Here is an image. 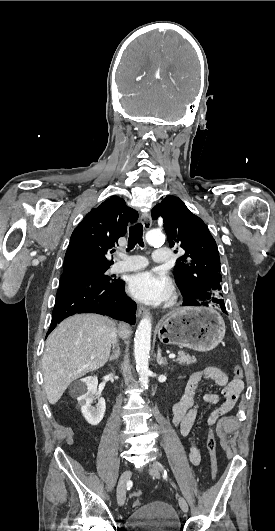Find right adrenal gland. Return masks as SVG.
Returning a JSON list of instances; mask_svg holds the SVG:
<instances>
[{
	"label": "right adrenal gland",
	"instance_id": "2a0ac1e0",
	"mask_svg": "<svg viewBox=\"0 0 275 531\" xmlns=\"http://www.w3.org/2000/svg\"><path fill=\"white\" fill-rule=\"evenodd\" d=\"M119 355H120V349H119V347H116V349H114L113 355H111L109 361H115V359H118Z\"/></svg>",
	"mask_w": 275,
	"mask_h": 531
}]
</instances>
